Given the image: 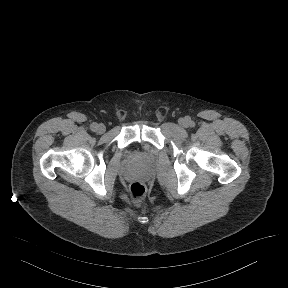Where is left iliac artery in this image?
<instances>
[{"mask_svg": "<svg viewBox=\"0 0 288 288\" xmlns=\"http://www.w3.org/2000/svg\"><path fill=\"white\" fill-rule=\"evenodd\" d=\"M190 126H191V127H194V126H195V123H194L193 121H191V122H190Z\"/></svg>", "mask_w": 288, "mask_h": 288, "instance_id": "1", "label": "left iliac artery"}]
</instances>
